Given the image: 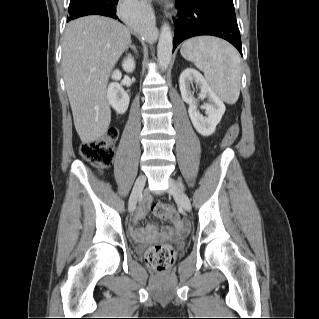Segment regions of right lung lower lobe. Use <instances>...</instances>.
I'll list each match as a JSON object with an SVG mask.
<instances>
[{
  "instance_id": "right-lung-lower-lobe-1",
  "label": "right lung lower lobe",
  "mask_w": 319,
  "mask_h": 319,
  "mask_svg": "<svg viewBox=\"0 0 319 319\" xmlns=\"http://www.w3.org/2000/svg\"><path fill=\"white\" fill-rule=\"evenodd\" d=\"M117 4L118 0H88L81 8L69 14L67 21L86 15H102L118 19Z\"/></svg>"
}]
</instances>
